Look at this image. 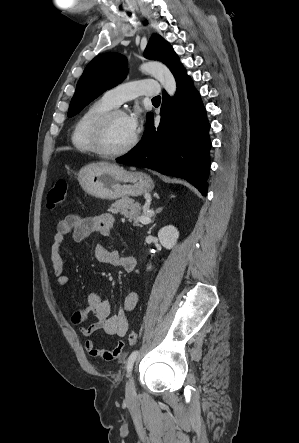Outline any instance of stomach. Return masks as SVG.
<instances>
[{
  "label": "stomach",
  "mask_w": 299,
  "mask_h": 443,
  "mask_svg": "<svg viewBox=\"0 0 299 443\" xmlns=\"http://www.w3.org/2000/svg\"><path fill=\"white\" fill-rule=\"evenodd\" d=\"M78 181L86 193L106 200L140 196L154 188V182L147 174L128 171L110 163L83 167L79 171Z\"/></svg>",
  "instance_id": "0dacf381"
}]
</instances>
